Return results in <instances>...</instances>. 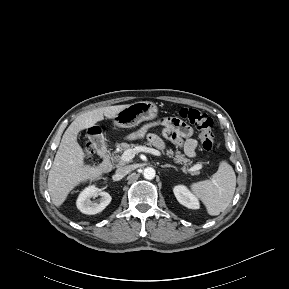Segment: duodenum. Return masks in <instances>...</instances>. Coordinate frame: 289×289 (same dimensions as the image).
Instances as JSON below:
<instances>
[{
    "label": "duodenum",
    "mask_w": 289,
    "mask_h": 289,
    "mask_svg": "<svg viewBox=\"0 0 289 289\" xmlns=\"http://www.w3.org/2000/svg\"><path fill=\"white\" fill-rule=\"evenodd\" d=\"M98 152L101 157V162L98 165V168L101 172H108L112 168V162L110 158V153L107 148L100 144L98 147Z\"/></svg>",
    "instance_id": "duodenum-1"
}]
</instances>
